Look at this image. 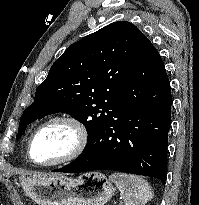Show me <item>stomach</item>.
<instances>
[{
	"label": "stomach",
	"instance_id": "stomach-1",
	"mask_svg": "<svg viewBox=\"0 0 199 205\" xmlns=\"http://www.w3.org/2000/svg\"><path fill=\"white\" fill-rule=\"evenodd\" d=\"M24 192L38 205H105L115 188L100 172L77 178L43 176L22 178Z\"/></svg>",
	"mask_w": 199,
	"mask_h": 205
}]
</instances>
